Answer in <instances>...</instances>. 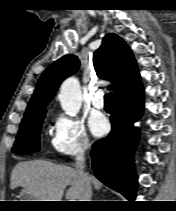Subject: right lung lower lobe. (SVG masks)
<instances>
[{"instance_id": "98d812e1", "label": "right lung lower lobe", "mask_w": 176, "mask_h": 211, "mask_svg": "<svg viewBox=\"0 0 176 211\" xmlns=\"http://www.w3.org/2000/svg\"><path fill=\"white\" fill-rule=\"evenodd\" d=\"M143 104L142 85L129 95L115 98L111 112L112 131L107 138L96 141L91 151L95 176L129 201L135 199L137 177L134 159L127 150L138 142L139 130L133 123L142 116Z\"/></svg>"}]
</instances>
